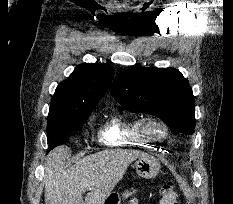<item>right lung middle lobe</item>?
I'll list each match as a JSON object with an SVG mask.
<instances>
[{"instance_id":"dd1d6c3e","label":"right lung middle lobe","mask_w":233,"mask_h":204,"mask_svg":"<svg viewBox=\"0 0 233 204\" xmlns=\"http://www.w3.org/2000/svg\"><path fill=\"white\" fill-rule=\"evenodd\" d=\"M92 111L66 118L55 123H47L48 126V152L58 145H63L73 130H80Z\"/></svg>"}]
</instances>
